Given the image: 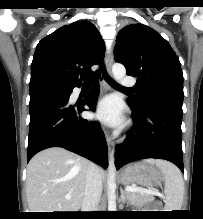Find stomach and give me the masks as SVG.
<instances>
[{"label": "stomach", "instance_id": "obj_1", "mask_svg": "<svg viewBox=\"0 0 203 219\" xmlns=\"http://www.w3.org/2000/svg\"><path fill=\"white\" fill-rule=\"evenodd\" d=\"M164 180L161 169L146 162L131 164L120 173V181L123 184L136 183L148 188L159 186Z\"/></svg>", "mask_w": 203, "mask_h": 219}]
</instances>
